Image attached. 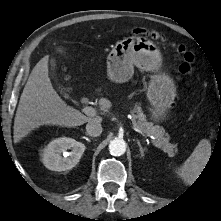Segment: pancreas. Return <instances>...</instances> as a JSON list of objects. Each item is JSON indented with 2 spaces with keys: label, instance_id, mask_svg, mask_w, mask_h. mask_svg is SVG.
<instances>
[{
  "label": "pancreas",
  "instance_id": "1",
  "mask_svg": "<svg viewBox=\"0 0 221 221\" xmlns=\"http://www.w3.org/2000/svg\"><path fill=\"white\" fill-rule=\"evenodd\" d=\"M131 113L134 122H136L135 119H138L136 122L138 129H140L146 135L155 136L159 148L167 153L169 157L175 156V154L178 152V149L175 144L169 142L170 136L162 127L158 125L154 126L152 123L147 122L146 116L143 114L142 108L139 105H136Z\"/></svg>",
  "mask_w": 221,
  "mask_h": 221
}]
</instances>
